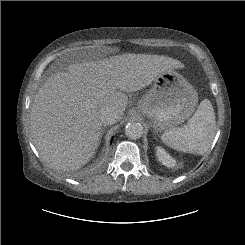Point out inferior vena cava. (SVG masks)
Listing matches in <instances>:
<instances>
[{
  "label": "inferior vena cava",
  "instance_id": "1",
  "mask_svg": "<svg viewBox=\"0 0 245 245\" xmlns=\"http://www.w3.org/2000/svg\"><path fill=\"white\" fill-rule=\"evenodd\" d=\"M99 118L102 124L111 125L116 123L119 119V114L114 106L106 105L101 107L99 111Z\"/></svg>",
  "mask_w": 245,
  "mask_h": 245
}]
</instances>
